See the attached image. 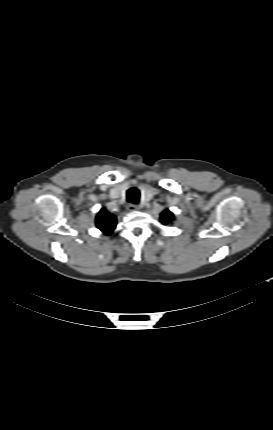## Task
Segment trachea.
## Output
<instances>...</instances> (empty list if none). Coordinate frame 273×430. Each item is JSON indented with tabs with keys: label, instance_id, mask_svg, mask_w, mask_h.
I'll return each mask as SVG.
<instances>
[{
	"label": "trachea",
	"instance_id": "obj_1",
	"mask_svg": "<svg viewBox=\"0 0 273 430\" xmlns=\"http://www.w3.org/2000/svg\"><path fill=\"white\" fill-rule=\"evenodd\" d=\"M140 192L136 187H132L127 191V199L130 203L136 204L139 201Z\"/></svg>",
	"mask_w": 273,
	"mask_h": 430
}]
</instances>
